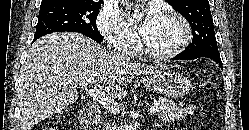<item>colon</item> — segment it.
I'll return each mask as SVG.
<instances>
[{
  "instance_id": "obj_1",
  "label": "colon",
  "mask_w": 249,
  "mask_h": 130,
  "mask_svg": "<svg viewBox=\"0 0 249 130\" xmlns=\"http://www.w3.org/2000/svg\"><path fill=\"white\" fill-rule=\"evenodd\" d=\"M43 130H58V119L56 117L50 119Z\"/></svg>"
}]
</instances>
